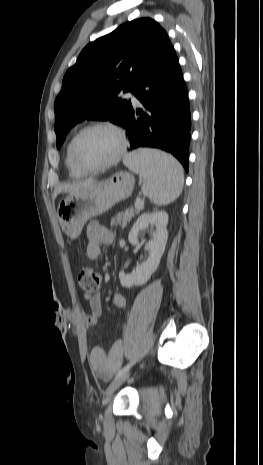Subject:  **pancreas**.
Listing matches in <instances>:
<instances>
[{"label":"pancreas","instance_id":"cf45deb5","mask_svg":"<svg viewBox=\"0 0 263 465\" xmlns=\"http://www.w3.org/2000/svg\"><path fill=\"white\" fill-rule=\"evenodd\" d=\"M142 209V208H141ZM141 209H133L130 208L128 210H125L122 213H118L115 217L111 219V226H117L120 225L121 227H125L130 220L140 212Z\"/></svg>","mask_w":263,"mask_h":465}]
</instances>
